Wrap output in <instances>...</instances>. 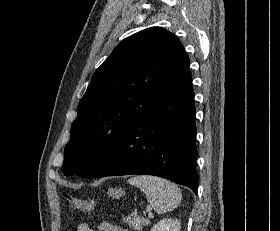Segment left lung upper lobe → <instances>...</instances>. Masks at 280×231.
Returning a JSON list of instances; mask_svg holds the SVG:
<instances>
[{
  "label": "left lung upper lobe",
  "instance_id": "5c2ea615",
  "mask_svg": "<svg viewBox=\"0 0 280 231\" xmlns=\"http://www.w3.org/2000/svg\"><path fill=\"white\" fill-rule=\"evenodd\" d=\"M190 75L182 44L163 28H148L120 42L79 102L63 173L91 177L116 141Z\"/></svg>",
  "mask_w": 280,
  "mask_h": 231
}]
</instances>
